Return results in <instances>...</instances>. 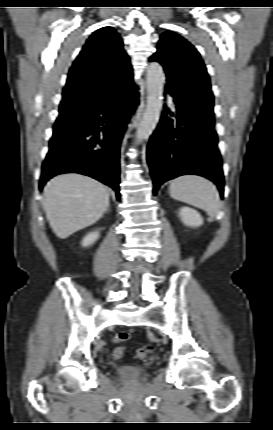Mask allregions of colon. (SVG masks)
Masks as SVG:
<instances>
[{
	"label": "colon",
	"instance_id": "obj_1",
	"mask_svg": "<svg viewBox=\"0 0 273 430\" xmlns=\"http://www.w3.org/2000/svg\"><path fill=\"white\" fill-rule=\"evenodd\" d=\"M131 338L130 333L126 332V331H122L117 333L114 336V342L116 343H122V342H126ZM154 351V348L150 345L148 346H143L140 347L136 350L135 356L138 359H145L147 357H149ZM124 354V349L122 347H118L114 350V356L116 358H121Z\"/></svg>",
	"mask_w": 273,
	"mask_h": 430
}]
</instances>
